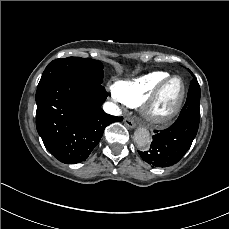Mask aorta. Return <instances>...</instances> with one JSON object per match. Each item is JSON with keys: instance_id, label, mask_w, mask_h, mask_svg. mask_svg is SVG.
I'll return each mask as SVG.
<instances>
[{"instance_id": "762f6f07", "label": "aorta", "mask_w": 229, "mask_h": 229, "mask_svg": "<svg viewBox=\"0 0 229 229\" xmlns=\"http://www.w3.org/2000/svg\"><path fill=\"white\" fill-rule=\"evenodd\" d=\"M134 142L140 148H145L150 143V133L146 128H137L134 132Z\"/></svg>"}]
</instances>
